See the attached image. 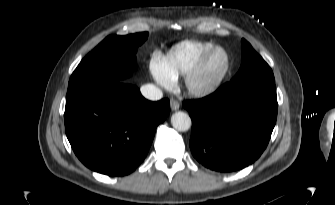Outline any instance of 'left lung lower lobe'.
I'll return each mask as SVG.
<instances>
[{"instance_id": "left-lung-lower-lobe-1", "label": "left lung lower lobe", "mask_w": 335, "mask_h": 205, "mask_svg": "<svg viewBox=\"0 0 335 205\" xmlns=\"http://www.w3.org/2000/svg\"><path fill=\"white\" fill-rule=\"evenodd\" d=\"M183 106L192 119L193 156L211 170L233 172L257 160L269 143L277 119L276 85L263 79L231 80Z\"/></svg>"}]
</instances>
